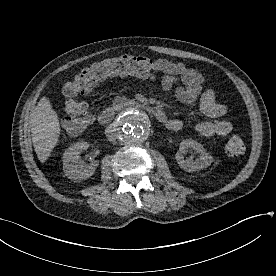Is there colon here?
Masks as SVG:
<instances>
[{"instance_id":"obj_1","label":"colon","mask_w":276,"mask_h":276,"mask_svg":"<svg viewBox=\"0 0 276 276\" xmlns=\"http://www.w3.org/2000/svg\"><path fill=\"white\" fill-rule=\"evenodd\" d=\"M157 72L153 60L129 54L92 63L63 87L66 98V117L62 125L64 132L77 134L90 125L92 122L90 107L77 97L89 93L101 81L116 75L153 78ZM244 150L245 144L239 135H233L225 145V152L230 157L239 156Z\"/></svg>"}]
</instances>
